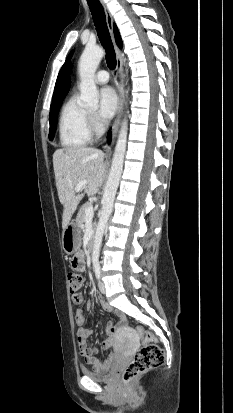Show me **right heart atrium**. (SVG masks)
Returning <instances> with one entry per match:
<instances>
[{"mask_svg": "<svg viewBox=\"0 0 233 413\" xmlns=\"http://www.w3.org/2000/svg\"><path fill=\"white\" fill-rule=\"evenodd\" d=\"M93 123L95 124L96 127H99V124L95 119H93Z\"/></svg>", "mask_w": 233, "mask_h": 413, "instance_id": "1", "label": "right heart atrium"}]
</instances>
